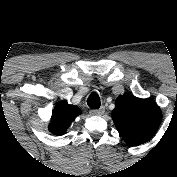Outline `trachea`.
Instances as JSON below:
<instances>
[{
  "label": "trachea",
  "instance_id": "trachea-1",
  "mask_svg": "<svg viewBox=\"0 0 177 177\" xmlns=\"http://www.w3.org/2000/svg\"><path fill=\"white\" fill-rule=\"evenodd\" d=\"M87 104L91 109H99L101 104L99 95L92 92L87 99Z\"/></svg>",
  "mask_w": 177,
  "mask_h": 177
}]
</instances>
